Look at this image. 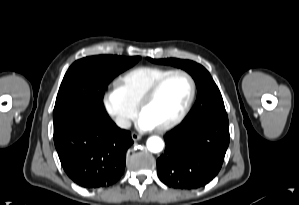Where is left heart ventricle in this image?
Wrapping results in <instances>:
<instances>
[{"label":"left heart ventricle","mask_w":299,"mask_h":205,"mask_svg":"<svg viewBox=\"0 0 299 205\" xmlns=\"http://www.w3.org/2000/svg\"><path fill=\"white\" fill-rule=\"evenodd\" d=\"M190 94V83L183 75L170 77L142 113L155 127L175 118L183 109Z\"/></svg>","instance_id":"obj_1"}]
</instances>
